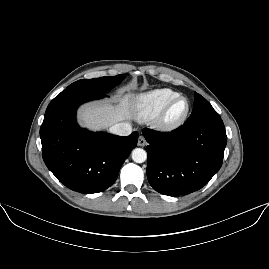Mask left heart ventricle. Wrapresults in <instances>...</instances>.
<instances>
[{"label":"left heart ventricle","mask_w":269,"mask_h":269,"mask_svg":"<svg viewBox=\"0 0 269 269\" xmlns=\"http://www.w3.org/2000/svg\"><path fill=\"white\" fill-rule=\"evenodd\" d=\"M186 107V102L185 100H179L175 106L173 107V110H172V116L173 117H177L179 115H181L184 111Z\"/></svg>","instance_id":"b2bd125f"}]
</instances>
